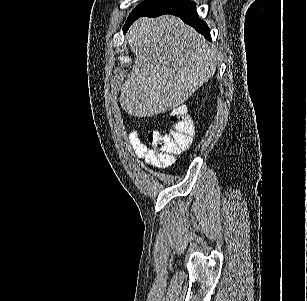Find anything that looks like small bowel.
I'll use <instances>...</instances> for the list:
<instances>
[{
    "label": "small bowel",
    "instance_id": "obj_1",
    "mask_svg": "<svg viewBox=\"0 0 307 301\" xmlns=\"http://www.w3.org/2000/svg\"><path fill=\"white\" fill-rule=\"evenodd\" d=\"M128 141L136 157L144 159L153 168L160 169L165 166L159 157L140 140L137 131L133 130L129 133Z\"/></svg>",
    "mask_w": 307,
    "mask_h": 301
}]
</instances>
